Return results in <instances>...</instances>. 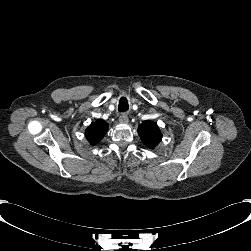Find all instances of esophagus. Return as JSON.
I'll return each instance as SVG.
<instances>
[{
	"mask_svg": "<svg viewBox=\"0 0 251 251\" xmlns=\"http://www.w3.org/2000/svg\"><path fill=\"white\" fill-rule=\"evenodd\" d=\"M119 122L122 124H127L129 122V118L126 114H121L119 117Z\"/></svg>",
	"mask_w": 251,
	"mask_h": 251,
	"instance_id": "obj_1",
	"label": "esophagus"
}]
</instances>
